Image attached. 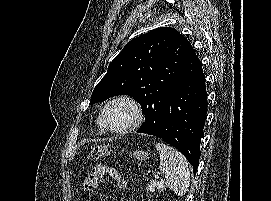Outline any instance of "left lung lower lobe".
<instances>
[{"instance_id": "obj_1", "label": "left lung lower lobe", "mask_w": 271, "mask_h": 201, "mask_svg": "<svg viewBox=\"0 0 271 201\" xmlns=\"http://www.w3.org/2000/svg\"><path fill=\"white\" fill-rule=\"evenodd\" d=\"M206 114L205 75L186 39L179 78L163 107L159 127L151 130L141 126L137 132L155 135L178 149L196 173Z\"/></svg>"}]
</instances>
